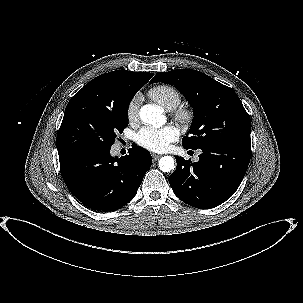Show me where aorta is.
Returning <instances> with one entry per match:
<instances>
[{
    "mask_svg": "<svg viewBox=\"0 0 303 303\" xmlns=\"http://www.w3.org/2000/svg\"><path fill=\"white\" fill-rule=\"evenodd\" d=\"M139 115L143 122L155 127H160L165 122L163 110L157 105H144L141 107ZM174 167V159L171 156H164L159 160V168L162 172H170Z\"/></svg>",
    "mask_w": 303,
    "mask_h": 303,
    "instance_id": "1",
    "label": "aorta"
}]
</instances>
